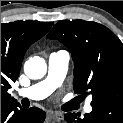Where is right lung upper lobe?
Returning <instances> with one entry per match:
<instances>
[{"mask_svg": "<svg viewBox=\"0 0 123 123\" xmlns=\"http://www.w3.org/2000/svg\"><path fill=\"white\" fill-rule=\"evenodd\" d=\"M53 23L15 21L1 24V102L16 101L7 92L20 73L27 49L43 37Z\"/></svg>", "mask_w": 123, "mask_h": 123, "instance_id": "right-lung-upper-lobe-1", "label": "right lung upper lobe"}]
</instances>
